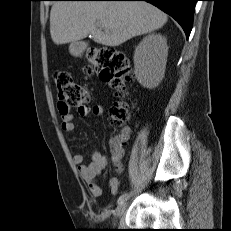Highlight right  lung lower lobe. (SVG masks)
Instances as JSON below:
<instances>
[{
  "label": "right lung lower lobe",
  "instance_id": "98d812e1",
  "mask_svg": "<svg viewBox=\"0 0 231 231\" xmlns=\"http://www.w3.org/2000/svg\"><path fill=\"white\" fill-rule=\"evenodd\" d=\"M96 1H147L173 17L183 28L188 38L193 25L197 0H96Z\"/></svg>",
  "mask_w": 231,
  "mask_h": 231
}]
</instances>
